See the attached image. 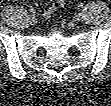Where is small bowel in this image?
<instances>
[{
    "label": "small bowel",
    "mask_w": 111,
    "mask_h": 106,
    "mask_svg": "<svg viewBox=\"0 0 111 106\" xmlns=\"http://www.w3.org/2000/svg\"><path fill=\"white\" fill-rule=\"evenodd\" d=\"M66 3L65 0H56L50 6H48L42 13L43 18L47 19L52 16L57 7H62Z\"/></svg>",
    "instance_id": "obj_1"
}]
</instances>
